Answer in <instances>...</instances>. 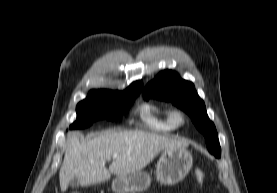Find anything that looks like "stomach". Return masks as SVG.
<instances>
[{
	"mask_svg": "<svg viewBox=\"0 0 277 193\" xmlns=\"http://www.w3.org/2000/svg\"><path fill=\"white\" fill-rule=\"evenodd\" d=\"M193 158L186 148H168L163 150L157 165V180L164 185L179 183L190 171ZM151 183L150 175L138 171L127 176H117L112 182L115 193H140Z\"/></svg>",
	"mask_w": 277,
	"mask_h": 193,
	"instance_id": "1",
	"label": "stomach"
}]
</instances>
